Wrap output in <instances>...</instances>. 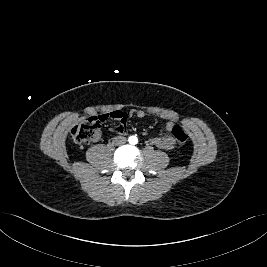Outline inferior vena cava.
Returning <instances> with one entry per match:
<instances>
[{"mask_svg": "<svg viewBox=\"0 0 267 267\" xmlns=\"http://www.w3.org/2000/svg\"><path fill=\"white\" fill-rule=\"evenodd\" d=\"M115 139H116V143L118 145H122V144L126 143V138L125 137L119 136V137H116Z\"/></svg>", "mask_w": 267, "mask_h": 267, "instance_id": "602c4592", "label": "inferior vena cava"}]
</instances>
